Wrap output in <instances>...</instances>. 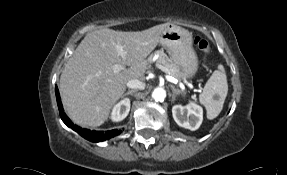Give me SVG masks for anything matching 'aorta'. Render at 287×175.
I'll use <instances>...</instances> for the list:
<instances>
[{"label": "aorta", "instance_id": "obj_1", "mask_svg": "<svg viewBox=\"0 0 287 175\" xmlns=\"http://www.w3.org/2000/svg\"><path fill=\"white\" fill-rule=\"evenodd\" d=\"M166 97V91L165 89L161 87H157L152 92V98L156 101H163Z\"/></svg>", "mask_w": 287, "mask_h": 175}]
</instances>
